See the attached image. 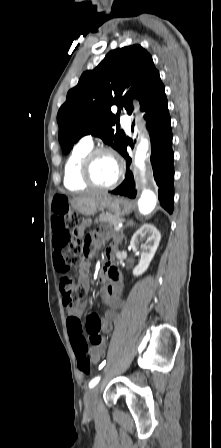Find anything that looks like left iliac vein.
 I'll return each instance as SVG.
<instances>
[{"label": "left iliac vein", "instance_id": "left-iliac-vein-1", "mask_svg": "<svg viewBox=\"0 0 221 448\" xmlns=\"http://www.w3.org/2000/svg\"><path fill=\"white\" fill-rule=\"evenodd\" d=\"M98 386H94L86 391L84 396V404L87 412H93L97 405Z\"/></svg>", "mask_w": 221, "mask_h": 448}]
</instances>
